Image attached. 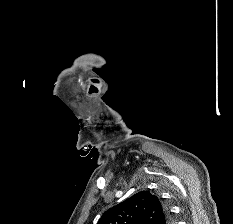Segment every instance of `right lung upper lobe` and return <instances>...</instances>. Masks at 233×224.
I'll return each instance as SVG.
<instances>
[{"mask_svg": "<svg viewBox=\"0 0 233 224\" xmlns=\"http://www.w3.org/2000/svg\"><path fill=\"white\" fill-rule=\"evenodd\" d=\"M168 210L157 196L141 191L107 210L97 224H171Z\"/></svg>", "mask_w": 233, "mask_h": 224, "instance_id": "cb5924a9", "label": "right lung upper lobe"}]
</instances>
